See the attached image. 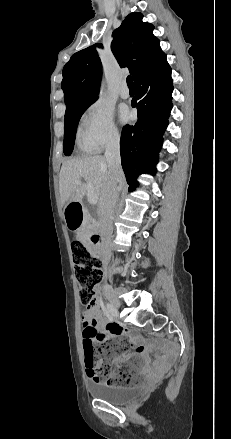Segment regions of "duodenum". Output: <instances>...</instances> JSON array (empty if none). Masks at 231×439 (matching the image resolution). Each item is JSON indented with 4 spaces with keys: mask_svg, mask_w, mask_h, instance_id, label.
<instances>
[{
    "mask_svg": "<svg viewBox=\"0 0 231 439\" xmlns=\"http://www.w3.org/2000/svg\"><path fill=\"white\" fill-rule=\"evenodd\" d=\"M69 212V217L71 220H78L81 218L82 213V202L78 201L68 205L67 208ZM88 243L93 250H98L101 247V237L97 232H92L87 237Z\"/></svg>",
    "mask_w": 231,
    "mask_h": 439,
    "instance_id": "duodenum-1",
    "label": "duodenum"
}]
</instances>
